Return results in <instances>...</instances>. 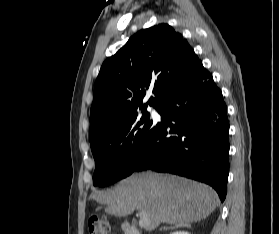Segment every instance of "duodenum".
I'll use <instances>...</instances> for the list:
<instances>
[{
  "label": "duodenum",
  "mask_w": 279,
  "mask_h": 234,
  "mask_svg": "<svg viewBox=\"0 0 279 234\" xmlns=\"http://www.w3.org/2000/svg\"><path fill=\"white\" fill-rule=\"evenodd\" d=\"M126 234H141L136 227H134L133 225L131 224H127L126 225Z\"/></svg>",
  "instance_id": "1"
}]
</instances>
